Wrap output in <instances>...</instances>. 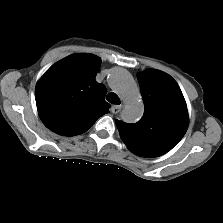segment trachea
<instances>
[{
  "mask_svg": "<svg viewBox=\"0 0 223 223\" xmlns=\"http://www.w3.org/2000/svg\"><path fill=\"white\" fill-rule=\"evenodd\" d=\"M106 100H107L108 102H110L111 104H120V99H119V97H118L115 93H113V92L109 93V94L106 96Z\"/></svg>",
  "mask_w": 223,
  "mask_h": 223,
  "instance_id": "trachea-1",
  "label": "trachea"
}]
</instances>
